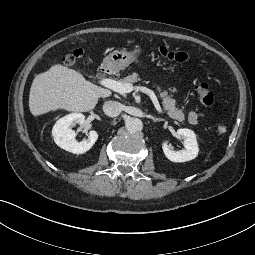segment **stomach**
<instances>
[{
    "label": "stomach",
    "mask_w": 255,
    "mask_h": 255,
    "mask_svg": "<svg viewBox=\"0 0 255 255\" xmlns=\"http://www.w3.org/2000/svg\"><path fill=\"white\" fill-rule=\"evenodd\" d=\"M141 54V48L135 47L133 50H115L104 59V65L113 72L124 69L137 60Z\"/></svg>",
    "instance_id": "1"
}]
</instances>
